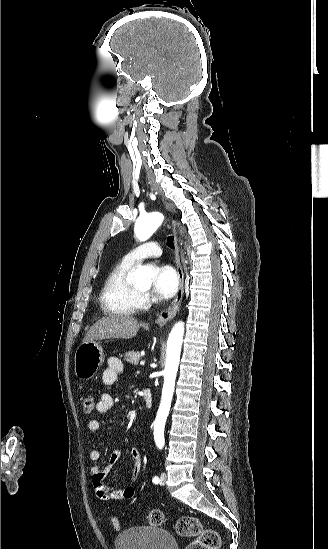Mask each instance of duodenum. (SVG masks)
<instances>
[{
	"instance_id": "1",
	"label": "duodenum",
	"mask_w": 328,
	"mask_h": 549,
	"mask_svg": "<svg viewBox=\"0 0 328 549\" xmlns=\"http://www.w3.org/2000/svg\"><path fill=\"white\" fill-rule=\"evenodd\" d=\"M142 395H143L146 406L148 408H151L153 404V396L150 389L148 388L143 389Z\"/></svg>"
}]
</instances>
